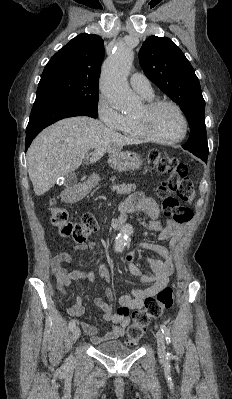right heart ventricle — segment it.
Returning <instances> with one entry per match:
<instances>
[{"label":"right heart ventricle","mask_w":232,"mask_h":399,"mask_svg":"<svg viewBox=\"0 0 232 399\" xmlns=\"http://www.w3.org/2000/svg\"><path fill=\"white\" fill-rule=\"evenodd\" d=\"M147 101H151L152 97H145ZM120 135L124 138L130 139L135 142H146L148 141L139 131L136 121L134 118H125L122 125L116 129Z\"/></svg>","instance_id":"e07e8e85"}]
</instances>
